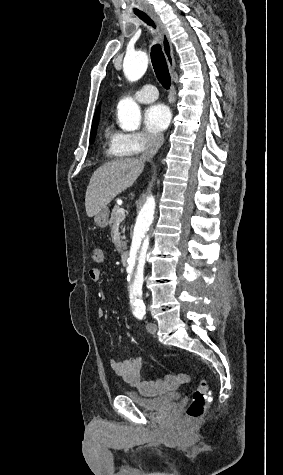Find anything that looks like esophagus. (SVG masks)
I'll list each match as a JSON object with an SVG mask.
<instances>
[{"instance_id":"obj_1","label":"esophagus","mask_w":283,"mask_h":475,"mask_svg":"<svg viewBox=\"0 0 283 475\" xmlns=\"http://www.w3.org/2000/svg\"><path fill=\"white\" fill-rule=\"evenodd\" d=\"M146 13L149 15V17L152 18V20L155 22L157 25L158 33L161 39L162 47H163V53L167 61L168 68L170 70L172 79H175L174 75V69H175V60H174V55H173V50H172V43L170 40V36L168 33L167 28L165 25H163L162 21L158 17L157 13L153 12L152 10H146ZM171 91L172 93H175V87L174 85L171 86ZM172 100L174 98L172 97Z\"/></svg>"}]
</instances>
